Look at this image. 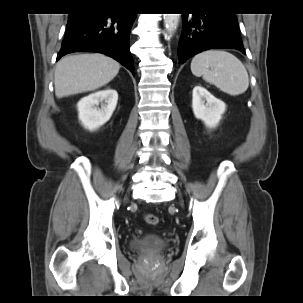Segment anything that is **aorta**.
I'll return each mask as SVG.
<instances>
[{
  "instance_id": "aorta-1",
  "label": "aorta",
  "mask_w": 303,
  "mask_h": 303,
  "mask_svg": "<svg viewBox=\"0 0 303 303\" xmlns=\"http://www.w3.org/2000/svg\"><path fill=\"white\" fill-rule=\"evenodd\" d=\"M179 14H164V25L168 35H172L179 23Z\"/></svg>"
}]
</instances>
